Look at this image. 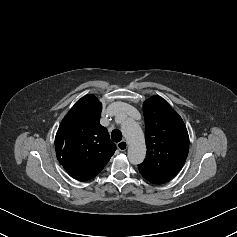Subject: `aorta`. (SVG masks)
Here are the masks:
<instances>
[{
    "label": "aorta",
    "instance_id": "762f6f07",
    "mask_svg": "<svg viewBox=\"0 0 237 237\" xmlns=\"http://www.w3.org/2000/svg\"><path fill=\"white\" fill-rule=\"evenodd\" d=\"M116 120H120L122 133L129 144L128 159L130 163L141 164L146 156V144L141 127L124 115L118 116Z\"/></svg>",
    "mask_w": 237,
    "mask_h": 237
}]
</instances>
